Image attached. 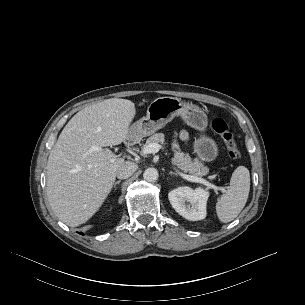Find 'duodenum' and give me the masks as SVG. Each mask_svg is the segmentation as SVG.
<instances>
[{
  "instance_id": "obj_1",
  "label": "duodenum",
  "mask_w": 305,
  "mask_h": 305,
  "mask_svg": "<svg viewBox=\"0 0 305 305\" xmlns=\"http://www.w3.org/2000/svg\"><path fill=\"white\" fill-rule=\"evenodd\" d=\"M135 140H136V137L134 135H130L126 140V143L128 145H132V144H134Z\"/></svg>"
}]
</instances>
